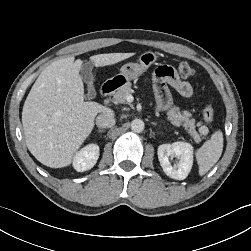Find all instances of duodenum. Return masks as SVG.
<instances>
[{"label": "duodenum", "instance_id": "duodenum-1", "mask_svg": "<svg viewBox=\"0 0 251 251\" xmlns=\"http://www.w3.org/2000/svg\"><path fill=\"white\" fill-rule=\"evenodd\" d=\"M119 87V83L117 81H109L107 83H105L101 90H100V94L101 96H109L110 94H112L117 88Z\"/></svg>", "mask_w": 251, "mask_h": 251}]
</instances>
